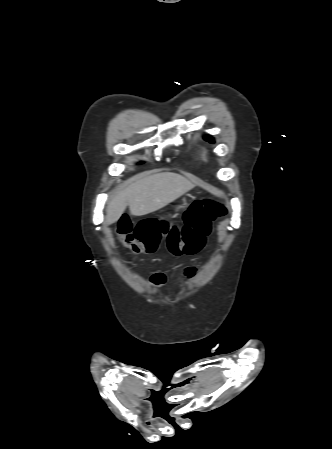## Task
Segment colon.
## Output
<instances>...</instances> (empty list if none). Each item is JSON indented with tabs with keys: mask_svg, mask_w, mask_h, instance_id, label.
<instances>
[{
	"mask_svg": "<svg viewBox=\"0 0 332 449\" xmlns=\"http://www.w3.org/2000/svg\"><path fill=\"white\" fill-rule=\"evenodd\" d=\"M226 213L225 207L212 199L196 200L184 214V225L177 227L167 220H142L133 226L121 220L115 228L118 239L135 253H154L165 239L173 256L194 255L203 245L211 222Z\"/></svg>",
	"mask_w": 332,
	"mask_h": 449,
	"instance_id": "5ec220e1",
	"label": "colon"
}]
</instances>
